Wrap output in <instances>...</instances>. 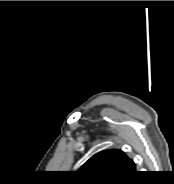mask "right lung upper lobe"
<instances>
[{
  "label": "right lung upper lobe",
  "mask_w": 174,
  "mask_h": 184,
  "mask_svg": "<svg viewBox=\"0 0 174 184\" xmlns=\"http://www.w3.org/2000/svg\"><path fill=\"white\" fill-rule=\"evenodd\" d=\"M94 180L121 181L135 173V164L121 150L95 154L79 170Z\"/></svg>",
  "instance_id": "obj_1"
}]
</instances>
